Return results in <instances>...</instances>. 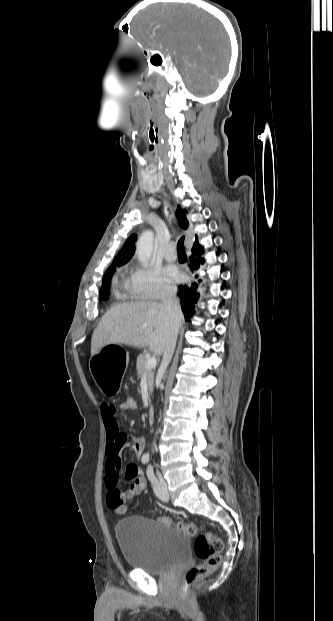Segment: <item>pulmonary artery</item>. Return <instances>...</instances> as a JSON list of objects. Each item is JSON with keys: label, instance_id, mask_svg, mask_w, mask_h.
I'll list each match as a JSON object with an SVG mask.
<instances>
[{"label": "pulmonary artery", "instance_id": "e3ab8cb5", "mask_svg": "<svg viewBox=\"0 0 333 621\" xmlns=\"http://www.w3.org/2000/svg\"><path fill=\"white\" fill-rule=\"evenodd\" d=\"M164 257L168 261H174L177 258L176 251H175V246L173 244H169L166 247V249L164 251Z\"/></svg>", "mask_w": 333, "mask_h": 621}]
</instances>
